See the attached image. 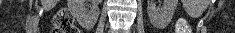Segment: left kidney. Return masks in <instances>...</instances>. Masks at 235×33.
<instances>
[{"label": "left kidney", "mask_w": 235, "mask_h": 33, "mask_svg": "<svg viewBox=\"0 0 235 33\" xmlns=\"http://www.w3.org/2000/svg\"><path fill=\"white\" fill-rule=\"evenodd\" d=\"M178 0H163L162 7H156L155 0H148L147 13L150 21L157 26L170 23L176 10Z\"/></svg>", "instance_id": "1"}]
</instances>
